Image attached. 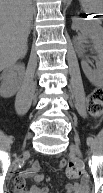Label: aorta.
Returning <instances> with one entry per match:
<instances>
[{"instance_id": "1", "label": "aorta", "mask_w": 103, "mask_h": 193, "mask_svg": "<svg viewBox=\"0 0 103 193\" xmlns=\"http://www.w3.org/2000/svg\"><path fill=\"white\" fill-rule=\"evenodd\" d=\"M71 0H63L65 3H70Z\"/></svg>"}]
</instances>
